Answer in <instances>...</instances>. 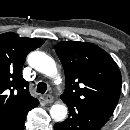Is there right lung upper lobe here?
Wrapping results in <instances>:
<instances>
[{
    "instance_id": "cb5924a9",
    "label": "right lung upper lobe",
    "mask_w": 130,
    "mask_h": 130,
    "mask_svg": "<svg viewBox=\"0 0 130 130\" xmlns=\"http://www.w3.org/2000/svg\"><path fill=\"white\" fill-rule=\"evenodd\" d=\"M43 43L13 32L0 35V125L24 116L39 104L29 93L22 67L27 54Z\"/></svg>"
}]
</instances>
